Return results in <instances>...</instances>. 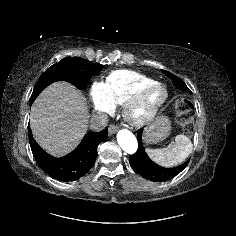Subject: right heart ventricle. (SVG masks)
<instances>
[{
	"mask_svg": "<svg viewBox=\"0 0 236 236\" xmlns=\"http://www.w3.org/2000/svg\"><path fill=\"white\" fill-rule=\"evenodd\" d=\"M156 82L153 78L131 70H115L105 79L106 99L113 106L123 105L140 88Z\"/></svg>",
	"mask_w": 236,
	"mask_h": 236,
	"instance_id": "right-heart-ventricle-1",
	"label": "right heart ventricle"
}]
</instances>
